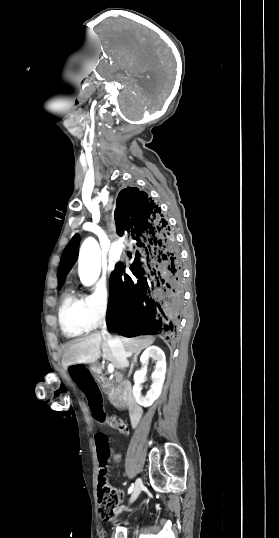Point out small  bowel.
<instances>
[{
    "label": "small bowel",
    "mask_w": 279,
    "mask_h": 538,
    "mask_svg": "<svg viewBox=\"0 0 279 538\" xmlns=\"http://www.w3.org/2000/svg\"><path fill=\"white\" fill-rule=\"evenodd\" d=\"M111 457L115 462H118V461H120L121 455H120L119 452H117L115 450H112L111 451Z\"/></svg>",
    "instance_id": "c3829d8e"
}]
</instances>
